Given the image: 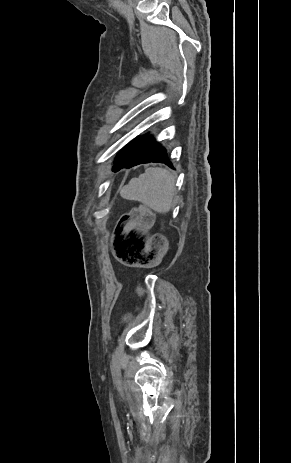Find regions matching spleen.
<instances>
[{
	"mask_svg": "<svg viewBox=\"0 0 291 463\" xmlns=\"http://www.w3.org/2000/svg\"><path fill=\"white\" fill-rule=\"evenodd\" d=\"M120 195L127 200L139 201L157 213L170 211L175 197V177L163 168H147L138 178H132Z\"/></svg>",
	"mask_w": 291,
	"mask_h": 463,
	"instance_id": "spleen-1",
	"label": "spleen"
}]
</instances>
